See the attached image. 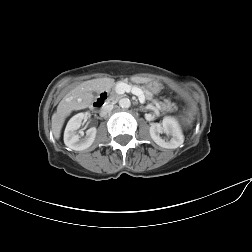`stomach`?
Wrapping results in <instances>:
<instances>
[{
    "label": "stomach",
    "instance_id": "stomach-1",
    "mask_svg": "<svg viewBox=\"0 0 252 252\" xmlns=\"http://www.w3.org/2000/svg\"><path fill=\"white\" fill-rule=\"evenodd\" d=\"M145 88L152 93L160 92L162 85L158 81H148L145 83Z\"/></svg>",
    "mask_w": 252,
    "mask_h": 252
}]
</instances>
